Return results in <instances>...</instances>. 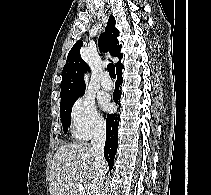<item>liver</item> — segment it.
I'll use <instances>...</instances> for the list:
<instances>
[{
  "mask_svg": "<svg viewBox=\"0 0 211 195\" xmlns=\"http://www.w3.org/2000/svg\"><path fill=\"white\" fill-rule=\"evenodd\" d=\"M95 174V154L89 144H62L53 157L49 193L78 195L82 185L90 195Z\"/></svg>",
  "mask_w": 211,
  "mask_h": 195,
  "instance_id": "6515ba94",
  "label": "liver"
}]
</instances>
